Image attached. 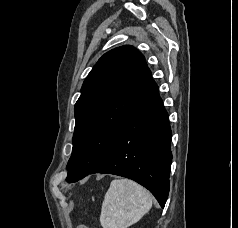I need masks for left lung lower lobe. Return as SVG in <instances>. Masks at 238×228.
I'll list each match as a JSON object with an SVG mask.
<instances>
[{
	"instance_id": "0a47b994",
	"label": "left lung lower lobe",
	"mask_w": 238,
	"mask_h": 228,
	"mask_svg": "<svg viewBox=\"0 0 238 228\" xmlns=\"http://www.w3.org/2000/svg\"><path fill=\"white\" fill-rule=\"evenodd\" d=\"M171 129L158 86L150 78L139 103L120 129L107 157L88 173L67 178L76 182L93 173L130 178L147 188L164 207L172 161Z\"/></svg>"
}]
</instances>
